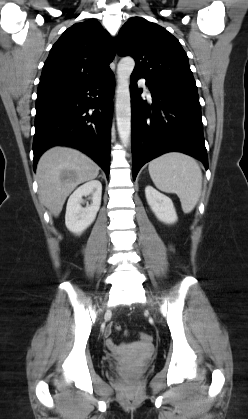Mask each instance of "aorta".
I'll return each mask as SVG.
<instances>
[{
    "label": "aorta",
    "mask_w": 248,
    "mask_h": 419,
    "mask_svg": "<svg viewBox=\"0 0 248 419\" xmlns=\"http://www.w3.org/2000/svg\"><path fill=\"white\" fill-rule=\"evenodd\" d=\"M135 67L132 57L122 58L117 66V90H116V121L120 139L124 146L130 141L131 134V98L130 76Z\"/></svg>",
    "instance_id": "1"
}]
</instances>
